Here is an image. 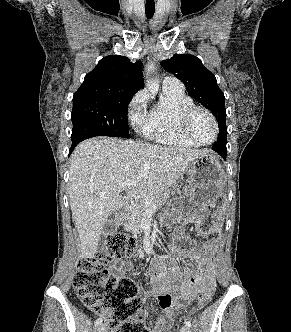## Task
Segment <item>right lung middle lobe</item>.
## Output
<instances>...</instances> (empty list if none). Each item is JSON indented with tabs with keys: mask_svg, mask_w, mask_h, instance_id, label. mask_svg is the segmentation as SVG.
<instances>
[{
	"mask_svg": "<svg viewBox=\"0 0 291 332\" xmlns=\"http://www.w3.org/2000/svg\"><path fill=\"white\" fill-rule=\"evenodd\" d=\"M129 95H103L73 99V129L91 125L94 134L79 135L81 142L95 135L129 138L127 108Z\"/></svg>",
	"mask_w": 291,
	"mask_h": 332,
	"instance_id": "1",
	"label": "right lung middle lobe"
}]
</instances>
